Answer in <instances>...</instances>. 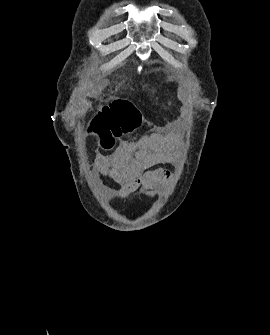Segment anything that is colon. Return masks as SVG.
I'll use <instances>...</instances> for the list:
<instances>
[{
    "instance_id": "1",
    "label": "colon",
    "mask_w": 270,
    "mask_h": 335,
    "mask_svg": "<svg viewBox=\"0 0 270 335\" xmlns=\"http://www.w3.org/2000/svg\"><path fill=\"white\" fill-rule=\"evenodd\" d=\"M112 110L104 108L96 110V116L90 117L91 123H97L98 134H114L116 136L135 131L141 121V110L126 100L111 103ZM123 109V110H120ZM102 148H113V141H102Z\"/></svg>"
}]
</instances>
